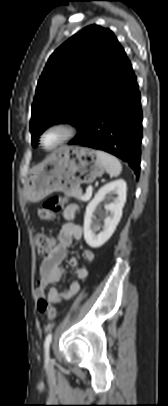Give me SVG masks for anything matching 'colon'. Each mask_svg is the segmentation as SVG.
<instances>
[{"label": "colon", "mask_w": 168, "mask_h": 406, "mask_svg": "<svg viewBox=\"0 0 168 406\" xmlns=\"http://www.w3.org/2000/svg\"><path fill=\"white\" fill-rule=\"evenodd\" d=\"M66 202L65 197L51 196L37 209V216L42 221H51L56 218L57 214L62 210ZM38 254L41 258L48 257L57 245V240L47 234H39L36 237ZM37 309L40 314L48 319H55L57 310L55 306L50 304L44 297L40 296L37 301Z\"/></svg>", "instance_id": "5ec220e1"}]
</instances>
